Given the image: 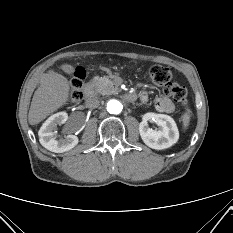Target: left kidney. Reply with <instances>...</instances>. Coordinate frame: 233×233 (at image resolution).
I'll list each match as a JSON object with an SVG mask.
<instances>
[{"label": "left kidney", "instance_id": "left-kidney-1", "mask_svg": "<svg viewBox=\"0 0 233 233\" xmlns=\"http://www.w3.org/2000/svg\"><path fill=\"white\" fill-rule=\"evenodd\" d=\"M150 120L159 126V130H153L149 127L148 121ZM139 133L143 142L156 150L169 148L179 139V131L175 121L165 114L146 113L139 124Z\"/></svg>", "mask_w": 233, "mask_h": 233}]
</instances>
